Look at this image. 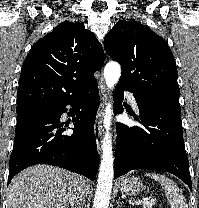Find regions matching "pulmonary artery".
Masks as SVG:
<instances>
[{
    "label": "pulmonary artery",
    "mask_w": 199,
    "mask_h": 208,
    "mask_svg": "<svg viewBox=\"0 0 199 208\" xmlns=\"http://www.w3.org/2000/svg\"><path fill=\"white\" fill-rule=\"evenodd\" d=\"M126 98L129 101V103L133 106V108L135 109V111H138L136 97L132 93L128 92L126 94Z\"/></svg>",
    "instance_id": "obj_1"
}]
</instances>
